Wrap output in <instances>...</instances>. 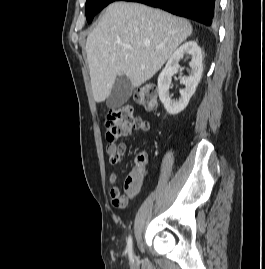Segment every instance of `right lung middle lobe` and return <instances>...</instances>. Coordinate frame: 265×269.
<instances>
[{
    "instance_id": "right-lung-middle-lobe-1",
    "label": "right lung middle lobe",
    "mask_w": 265,
    "mask_h": 269,
    "mask_svg": "<svg viewBox=\"0 0 265 269\" xmlns=\"http://www.w3.org/2000/svg\"><path fill=\"white\" fill-rule=\"evenodd\" d=\"M116 0H87L85 5V14L88 23H91L94 16L108 4Z\"/></svg>"
}]
</instances>
